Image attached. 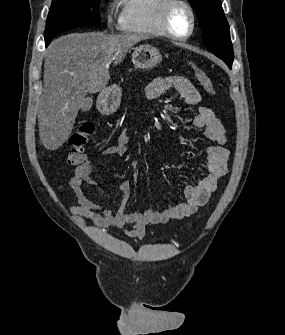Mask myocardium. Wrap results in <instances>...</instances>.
<instances>
[{
	"label": "myocardium",
	"mask_w": 285,
	"mask_h": 335,
	"mask_svg": "<svg viewBox=\"0 0 285 335\" xmlns=\"http://www.w3.org/2000/svg\"><path fill=\"white\" fill-rule=\"evenodd\" d=\"M177 8H181L190 17V25L188 31L184 34L180 33L173 23V16ZM162 24L166 33L176 39L188 37L194 27V16L190 6L185 1H168L162 12Z\"/></svg>",
	"instance_id": "1"
}]
</instances>
